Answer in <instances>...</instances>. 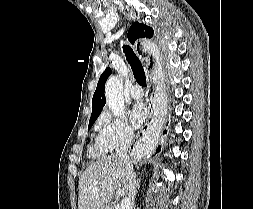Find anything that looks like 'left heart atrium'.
Returning a JSON list of instances; mask_svg holds the SVG:
<instances>
[{"label":"left heart atrium","instance_id":"39dd6f15","mask_svg":"<svg viewBox=\"0 0 253 209\" xmlns=\"http://www.w3.org/2000/svg\"><path fill=\"white\" fill-rule=\"evenodd\" d=\"M147 115H148V111L145 105L141 103L135 105L130 115V120H131L132 125L135 128H139L146 121Z\"/></svg>","mask_w":253,"mask_h":209}]
</instances>
